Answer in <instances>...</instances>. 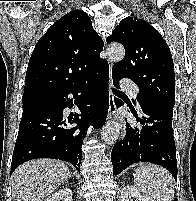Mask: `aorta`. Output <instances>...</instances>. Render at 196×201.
Returning <instances> with one entry per match:
<instances>
[{
	"label": "aorta",
	"instance_id": "1",
	"mask_svg": "<svg viewBox=\"0 0 196 201\" xmlns=\"http://www.w3.org/2000/svg\"><path fill=\"white\" fill-rule=\"evenodd\" d=\"M106 53L111 62H119L123 59L125 50L121 44H111ZM120 131L121 125L117 121H111L104 127L102 139L106 144L112 145L117 141Z\"/></svg>",
	"mask_w": 196,
	"mask_h": 201
}]
</instances>
